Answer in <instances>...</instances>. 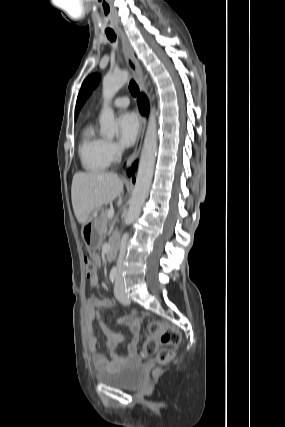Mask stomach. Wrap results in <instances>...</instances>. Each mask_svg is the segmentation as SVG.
Instances as JSON below:
<instances>
[{
	"mask_svg": "<svg viewBox=\"0 0 285 427\" xmlns=\"http://www.w3.org/2000/svg\"><path fill=\"white\" fill-rule=\"evenodd\" d=\"M102 209L95 210L83 225L81 234L87 247L96 249L102 241V232L99 229L100 216Z\"/></svg>",
	"mask_w": 285,
	"mask_h": 427,
	"instance_id": "stomach-1",
	"label": "stomach"
}]
</instances>
